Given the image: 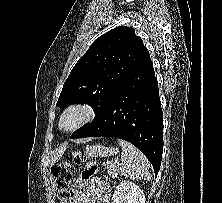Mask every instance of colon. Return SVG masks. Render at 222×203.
Segmentation results:
<instances>
[{
	"label": "colon",
	"instance_id": "5ec220e1",
	"mask_svg": "<svg viewBox=\"0 0 222 203\" xmlns=\"http://www.w3.org/2000/svg\"><path fill=\"white\" fill-rule=\"evenodd\" d=\"M86 157L79 153L75 156V162L81 163ZM97 172V167L93 161L87 162L85 169L81 173L82 181H89ZM55 191L60 203H72L73 191L72 180L74 176V165L72 163H62L55 166L52 170Z\"/></svg>",
	"mask_w": 222,
	"mask_h": 203
}]
</instances>
